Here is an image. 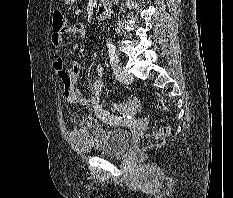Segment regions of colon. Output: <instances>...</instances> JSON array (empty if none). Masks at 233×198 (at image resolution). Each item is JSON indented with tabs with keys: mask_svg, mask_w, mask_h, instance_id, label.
<instances>
[{
	"mask_svg": "<svg viewBox=\"0 0 233 198\" xmlns=\"http://www.w3.org/2000/svg\"><path fill=\"white\" fill-rule=\"evenodd\" d=\"M52 24L54 32H60L65 28L66 20L60 10L53 11ZM157 107L163 109V106L161 105H158ZM113 108L123 117L133 116L140 112L141 103L138 99L134 98L128 102L116 103L113 105ZM170 130L168 125L161 126L153 133L152 138L156 141L161 140L170 134Z\"/></svg>",
	"mask_w": 233,
	"mask_h": 198,
	"instance_id": "1",
	"label": "colon"
}]
</instances>
